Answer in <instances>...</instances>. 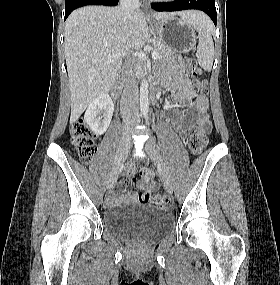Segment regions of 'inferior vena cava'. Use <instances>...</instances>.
Here are the masks:
<instances>
[{
  "label": "inferior vena cava",
  "instance_id": "1",
  "mask_svg": "<svg viewBox=\"0 0 280 285\" xmlns=\"http://www.w3.org/2000/svg\"><path fill=\"white\" fill-rule=\"evenodd\" d=\"M139 6V0H120V7L128 18L132 16L134 11L139 9ZM125 68L127 78L121 97V115L123 123L128 125L138 117V85L130 61Z\"/></svg>",
  "mask_w": 280,
  "mask_h": 285
}]
</instances>
